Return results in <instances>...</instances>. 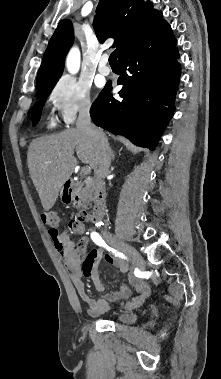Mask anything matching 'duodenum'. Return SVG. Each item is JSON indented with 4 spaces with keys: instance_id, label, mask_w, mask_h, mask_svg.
Returning <instances> with one entry per match:
<instances>
[{
    "instance_id": "obj_1",
    "label": "duodenum",
    "mask_w": 221,
    "mask_h": 379,
    "mask_svg": "<svg viewBox=\"0 0 221 379\" xmlns=\"http://www.w3.org/2000/svg\"><path fill=\"white\" fill-rule=\"evenodd\" d=\"M79 184L74 180H68L64 187V198L70 202H76L79 197ZM105 212V192L102 189L97 190L93 210L90 216L92 222H98L102 219Z\"/></svg>"
}]
</instances>
